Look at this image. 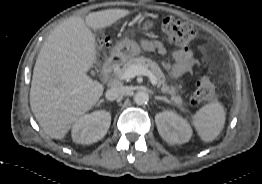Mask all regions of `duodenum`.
<instances>
[{
    "label": "duodenum",
    "mask_w": 262,
    "mask_h": 184,
    "mask_svg": "<svg viewBox=\"0 0 262 184\" xmlns=\"http://www.w3.org/2000/svg\"><path fill=\"white\" fill-rule=\"evenodd\" d=\"M122 63V58L118 55L113 56L109 61H107L102 68L103 76L106 80L110 77L112 72ZM109 81H107L108 83Z\"/></svg>",
    "instance_id": "1"
}]
</instances>
